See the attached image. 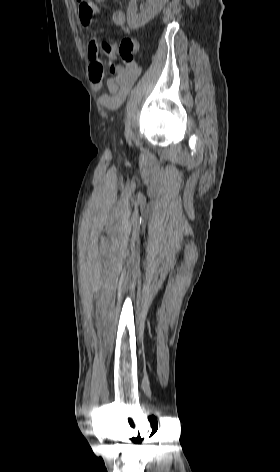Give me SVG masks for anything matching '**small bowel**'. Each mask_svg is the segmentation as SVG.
I'll use <instances>...</instances> for the list:
<instances>
[{
  "mask_svg": "<svg viewBox=\"0 0 280 472\" xmlns=\"http://www.w3.org/2000/svg\"><path fill=\"white\" fill-rule=\"evenodd\" d=\"M78 2L79 19L83 26L88 27L96 14L100 13L99 8L91 0H76ZM103 2L104 0H96ZM112 22L120 27L126 34L131 29L126 24V14L122 9H117L112 14ZM134 39V38H133ZM135 40V39H134ZM136 48H137V42ZM101 54L107 55L110 59L118 56V45L111 40L98 41L91 40L88 47V57L90 60L89 76L94 90L103 87L104 65L100 58ZM114 74L106 80L108 93L99 97L100 104L109 110L117 109L127 98L131 88L140 75L141 68L137 63L132 65L118 64L115 66Z\"/></svg>",
  "mask_w": 280,
  "mask_h": 472,
  "instance_id": "c3829d8e",
  "label": "small bowel"
}]
</instances>
